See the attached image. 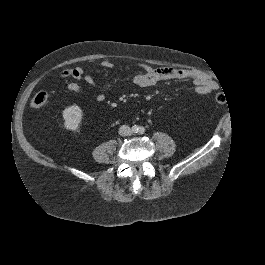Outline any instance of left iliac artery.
<instances>
[{"mask_svg":"<svg viewBox=\"0 0 265 265\" xmlns=\"http://www.w3.org/2000/svg\"><path fill=\"white\" fill-rule=\"evenodd\" d=\"M145 132V129L143 127L140 128L139 133L143 134Z\"/></svg>","mask_w":265,"mask_h":265,"instance_id":"left-iliac-artery-1","label":"left iliac artery"}]
</instances>
